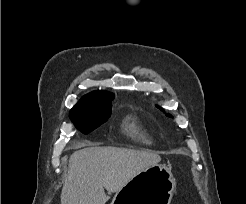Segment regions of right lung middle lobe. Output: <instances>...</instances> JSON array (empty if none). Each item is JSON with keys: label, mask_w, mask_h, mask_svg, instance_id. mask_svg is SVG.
I'll return each instance as SVG.
<instances>
[{"label": "right lung middle lobe", "mask_w": 246, "mask_h": 204, "mask_svg": "<svg viewBox=\"0 0 246 204\" xmlns=\"http://www.w3.org/2000/svg\"><path fill=\"white\" fill-rule=\"evenodd\" d=\"M113 98L97 99L85 106L73 108L70 111V118L82 133L88 134L108 120Z\"/></svg>", "instance_id": "dd1d6c3e"}]
</instances>
